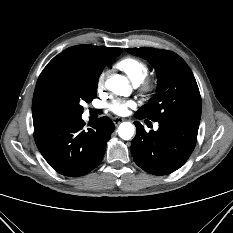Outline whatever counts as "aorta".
Returning a JSON list of instances; mask_svg holds the SVG:
<instances>
[{
    "label": "aorta",
    "mask_w": 233,
    "mask_h": 233,
    "mask_svg": "<svg viewBox=\"0 0 233 233\" xmlns=\"http://www.w3.org/2000/svg\"><path fill=\"white\" fill-rule=\"evenodd\" d=\"M106 88L117 95L126 96L131 88L128 80L121 75H114L106 81ZM134 126L130 122H123L119 125L118 135L124 140H130L134 135Z\"/></svg>",
    "instance_id": "aorta-1"
}]
</instances>
